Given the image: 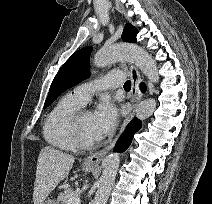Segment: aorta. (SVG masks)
<instances>
[{
  "instance_id": "obj_1",
  "label": "aorta",
  "mask_w": 212,
  "mask_h": 204,
  "mask_svg": "<svg viewBox=\"0 0 212 204\" xmlns=\"http://www.w3.org/2000/svg\"><path fill=\"white\" fill-rule=\"evenodd\" d=\"M117 61H130L138 67L143 74L153 83L159 82L158 67L152 56L143 48L132 44H114L102 47L94 56L97 67H105ZM156 100L153 98L143 100L136 108V117L144 120L150 117L156 109ZM120 164L118 153L110 154L106 159L100 186L96 192L93 204H106L117 170Z\"/></svg>"
}]
</instances>
